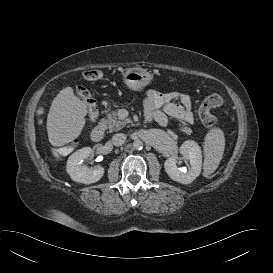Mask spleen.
<instances>
[{
	"label": "spleen",
	"instance_id": "spleen-1",
	"mask_svg": "<svg viewBox=\"0 0 273 273\" xmlns=\"http://www.w3.org/2000/svg\"><path fill=\"white\" fill-rule=\"evenodd\" d=\"M204 176L211 175L219 166L225 148L224 133L214 127L206 134L204 140Z\"/></svg>",
	"mask_w": 273,
	"mask_h": 273
}]
</instances>
